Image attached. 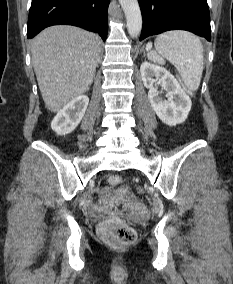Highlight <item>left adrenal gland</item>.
Returning a JSON list of instances; mask_svg holds the SVG:
<instances>
[{
    "label": "left adrenal gland",
    "instance_id": "a2214340",
    "mask_svg": "<svg viewBox=\"0 0 233 284\" xmlns=\"http://www.w3.org/2000/svg\"><path fill=\"white\" fill-rule=\"evenodd\" d=\"M141 52H143L144 55H146L144 47H142Z\"/></svg>",
    "mask_w": 233,
    "mask_h": 284
}]
</instances>
